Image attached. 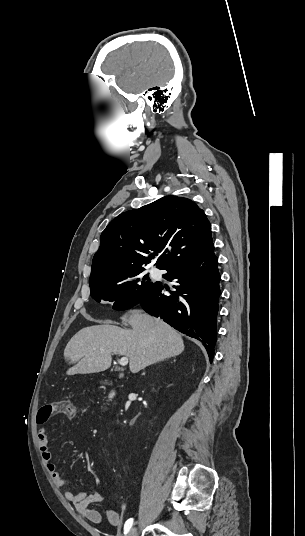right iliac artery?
I'll return each instance as SVG.
<instances>
[{"label": "right iliac artery", "mask_w": 305, "mask_h": 536, "mask_svg": "<svg viewBox=\"0 0 305 536\" xmlns=\"http://www.w3.org/2000/svg\"><path fill=\"white\" fill-rule=\"evenodd\" d=\"M132 524H133V519L130 518L128 519L126 522H125V525H124V533L127 534L128 531L130 530V528L132 527Z\"/></svg>", "instance_id": "1"}]
</instances>
